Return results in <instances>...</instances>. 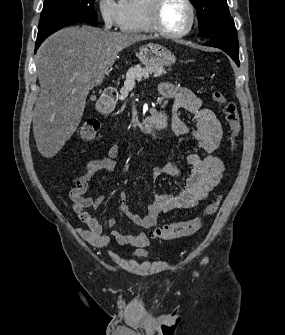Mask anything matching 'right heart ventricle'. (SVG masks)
I'll return each instance as SVG.
<instances>
[{"label": "right heart ventricle", "instance_id": "right-heart-ventricle-1", "mask_svg": "<svg viewBox=\"0 0 285 335\" xmlns=\"http://www.w3.org/2000/svg\"><path fill=\"white\" fill-rule=\"evenodd\" d=\"M127 5L132 13L124 19L123 28L135 33H153L152 1H129Z\"/></svg>", "mask_w": 285, "mask_h": 335}]
</instances>
